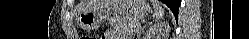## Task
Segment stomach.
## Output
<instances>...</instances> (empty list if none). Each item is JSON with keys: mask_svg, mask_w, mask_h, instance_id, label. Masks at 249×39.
<instances>
[{"mask_svg": "<svg viewBox=\"0 0 249 39\" xmlns=\"http://www.w3.org/2000/svg\"><path fill=\"white\" fill-rule=\"evenodd\" d=\"M146 0H123L118 5L97 6L82 11L77 19L78 25L84 30H94L100 27L112 14L119 12L136 19L145 17L149 12Z\"/></svg>", "mask_w": 249, "mask_h": 39, "instance_id": "stomach-1", "label": "stomach"}]
</instances>
